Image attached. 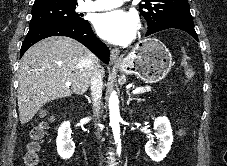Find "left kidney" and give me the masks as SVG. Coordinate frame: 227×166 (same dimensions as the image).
<instances>
[{"instance_id": "1", "label": "left kidney", "mask_w": 227, "mask_h": 166, "mask_svg": "<svg viewBox=\"0 0 227 166\" xmlns=\"http://www.w3.org/2000/svg\"><path fill=\"white\" fill-rule=\"evenodd\" d=\"M154 131L157 145L150 140L145 145V152L155 162L162 161L171 149L173 134L170 121L165 117H157L154 120Z\"/></svg>"}]
</instances>
